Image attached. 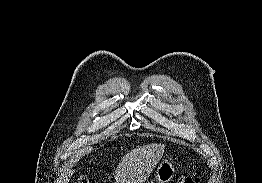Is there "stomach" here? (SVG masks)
Listing matches in <instances>:
<instances>
[{"label":"stomach","instance_id":"0dacf381","mask_svg":"<svg viewBox=\"0 0 262 183\" xmlns=\"http://www.w3.org/2000/svg\"><path fill=\"white\" fill-rule=\"evenodd\" d=\"M174 163L169 159H163L158 164L152 183H169L176 174Z\"/></svg>","mask_w":262,"mask_h":183}]
</instances>
